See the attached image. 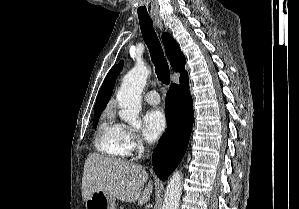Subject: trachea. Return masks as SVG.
<instances>
[{
  "label": "trachea",
  "mask_w": 299,
  "mask_h": 209,
  "mask_svg": "<svg viewBox=\"0 0 299 209\" xmlns=\"http://www.w3.org/2000/svg\"><path fill=\"white\" fill-rule=\"evenodd\" d=\"M140 28L143 39L147 44L154 63L158 80L165 85L170 83L169 66L165 59L162 46L153 28L150 17L139 16Z\"/></svg>",
  "instance_id": "3493384b"
}]
</instances>
